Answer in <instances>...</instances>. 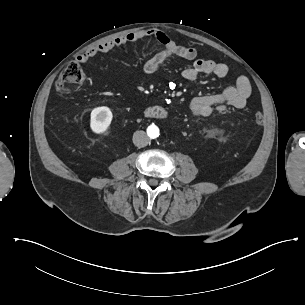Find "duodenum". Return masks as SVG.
<instances>
[{
  "instance_id": "duodenum-1",
  "label": "duodenum",
  "mask_w": 305,
  "mask_h": 305,
  "mask_svg": "<svg viewBox=\"0 0 305 305\" xmlns=\"http://www.w3.org/2000/svg\"><path fill=\"white\" fill-rule=\"evenodd\" d=\"M165 115V110L162 107L154 106L146 111V116L151 119H161Z\"/></svg>"
}]
</instances>
